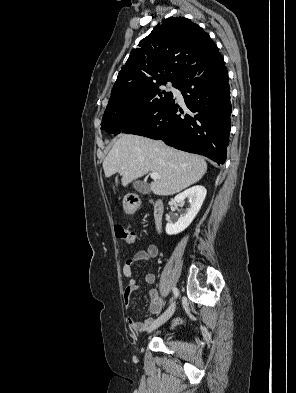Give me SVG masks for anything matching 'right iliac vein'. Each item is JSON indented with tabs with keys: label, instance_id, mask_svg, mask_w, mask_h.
Segmentation results:
<instances>
[{
	"label": "right iliac vein",
	"instance_id": "right-iliac-vein-1",
	"mask_svg": "<svg viewBox=\"0 0 296 393\" xmlns=\"http://www.w3.org/2000/svg\"><path fill=\"white\" fill-rule=\"evenodd\" d=\"M175 308H176V304L172 303L170 307L160 317H158L156 320L153 321L148 332H151L152 330L160 327L165 322H167L170 319V317L174 314Z\"/></svg>",
	"mask_w": 296,
	"mask_h": 393
}]
</instances>
